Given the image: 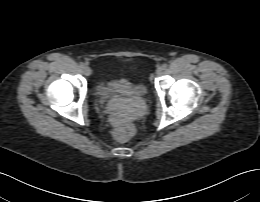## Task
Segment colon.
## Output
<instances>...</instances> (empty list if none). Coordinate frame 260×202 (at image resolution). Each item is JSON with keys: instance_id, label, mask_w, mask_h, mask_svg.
Listing matches in <instances>:
<instances>
[{"instance_id": "colon-1", "label": "colon", "mask_w": 260, "mask_h": 202, "mask_svg": "<svg viewBox=\"0 0 260 202\" xmlns=\"http://www.w3.org/2000/svg\"><path fill=\"white\" fill-rule=\"evenodd\" d=\"M111 121L114 126V131H113L114 138L117 141L127 140L130 137L131 132L126 120L120 115H115L112 117Z\"/></svg>"}]
</instances>
